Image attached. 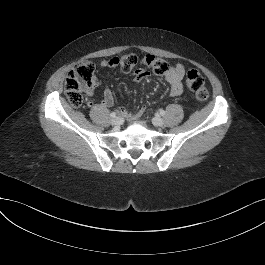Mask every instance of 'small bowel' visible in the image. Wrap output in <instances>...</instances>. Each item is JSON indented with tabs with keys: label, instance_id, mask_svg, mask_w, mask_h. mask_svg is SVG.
<instances>
[{
	"label": "small bowel",
	"instance_id": "c3829d8e",
	"mask_svg": "<svg viewBox=\"0 0 265 265\" xmlns=\"http://www.w3.org/2000/svg\"><path fill=\"white\" fill-rule=\"evenodd\" d=\"M105 68H113L116 67L117 64L114 63L113 58L108 60H103L100 64ZM185 74V68L182 64H176L171 67L167 74L164 75V79L169 84V95L172 97L179 96L183 92V77ZM133 81L140 82L146 79L149 76V72L145 68H138L133 72ZM87 96H92L94 94V90L90 89L85 91ZM89 106H93V102H88ZM101 105L106 107H112L114 105V96L109 87H105L103 90V98L101 101ZM146 107L141 106L137 111L130 112L125 108H119L118 112L122 117L127 119H137L139 118L145 111Z\"/></svg>",
	"mask_w": 265,
	"mask_h": 265
}]
</instances>
